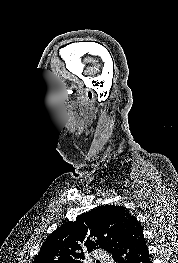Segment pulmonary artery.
Instances as JSON below:
<instances>
[{"mask_svg": "<svg viewBox=\"0 0 178 263\" xmlns=\"http://www.w3.org/2000/svg\"><path fill=\"white\" fill-rule=\"evenodd\" d=\"M95 257L101 261V263H112V260L109 259V257H107L106 254H104L102 251L100 250H96L95 251Z\"/></svg>", "mask_w": 178, "mask_h": 263, "instance_id": "1", "label": "pulmonary artery"}]
</instances>
